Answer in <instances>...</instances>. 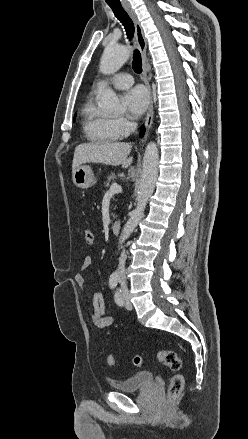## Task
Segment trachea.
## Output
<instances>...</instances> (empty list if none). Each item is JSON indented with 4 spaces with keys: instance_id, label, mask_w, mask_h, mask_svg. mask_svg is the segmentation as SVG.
<instances>
[{
    "instance_id": "trachea-1",
    "label": "trachea",
    "mask_w": 248,
    "mask_h": 439,
    "mask_svg": "<svg viewBox=\"0 0 248 439\" xmlns=\"http://www.w3.org/2000/svg\"><path fill=\"white\" fill-rule=\"evenodd\" d=\"M112 9L115 17L122 23L124 26L128 39L131 40L134 35V24L127 12L123 9L121 5H112L109 4ZM132 67L136 73L142 72V59L139 50H134Z\"/></svg>"
}]
</instances>
